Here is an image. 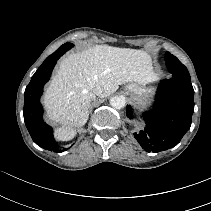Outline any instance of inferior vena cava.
I'll list each match as a JSON object with an SVG mask.
<instances>
[{
  "instance_id": "1",
  "label": "inferior vena cava",
  "mask_w": 211,
  "mask_h": 211,
  "mask_svg": "<svg viewBox=\"0 0 211 211\" xmlns=\"http://www.w3.org/2000/svg\"><path fill=\"white\" fill-rule=\"evenodd\" d=\"M94 93H95L97 96H102V94H103V89H102V87L96 86V87L94 88Z\"/></svg>"
}]
</instances>
